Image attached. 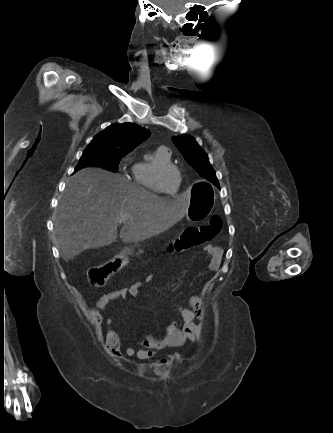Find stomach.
<instances>
[{"label": "stomach", "mask_w": 333, "mask_h": 433, "mask_svg": "<svg viewBox=\"0 0 333 433\" xmlns=\"http://www.w3.org/2000/svg\"><path fill=\"white\" fill-rule=\"evenodd\" d=\"M214 186L203 180L197 181L191 190V204L188 218L193 224H199L200 220L207 218L215 205Z\"/></svg>", "instance_id": "stomach-1"}]
</instances>
